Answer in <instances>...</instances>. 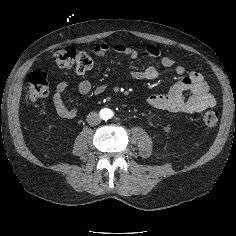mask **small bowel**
Here are the masks:
<instances>
[{
  "mask_svg": "<svg viewBox=\"0 0 236 236\" xmlns=\"http://www.w3.org/2000/svg\"><path fill=\"white\" fill-rule=\"evenodd\" d=\"M109 51L123 54L132 60L138 57V51L136 49L123 43L110 45L106 42H102L93 49V53L99 58L104 57ZM145 51L153 58L154 62L143 70H132V78L135 80H155L159 76L158 65L165 68H173L175 73L180 76V79L167 93L148 96L145 102L149 107L175 114H197L216 105V100L209 91V85L200 73H186V69L183 65L176 63L168 56L162 55L159 48L154 44H147ZM67 87L68 84L65 81H61L56 85L53 103L60 117L72 119L78 116L79 110L76 106L68 107L66 105L63 99V93ZM105 88V85H100L94 89V93L100 94ZM78 91L84 95L88 94L92 91V84L88 80H82L78 84ZM187 91L191 93V96L186 99L183 94Z\"/></svg>",
  "mask_w": 236,
  "mask_h": 236,
  "instance_id": "c3829d8e",
  "label": "small bowel"
}]
</instances>
